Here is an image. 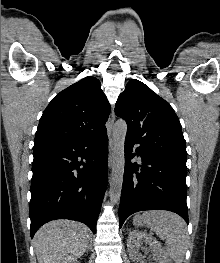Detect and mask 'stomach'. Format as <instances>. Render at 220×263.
I'll use <instances>...</instances> for the list:
<instances>
[{"mask_svg": "<svg viewBox=\"0 0 220 263\" xmlns=\"http://www.w3.org/2000/svg\"><path fill=\"white\" fill-rule=\"evenodd\" d=\"M134 225L136 226H143L145 222L143 221L141 216H135L133 220Z\"/></svg>", "mask_w": 220, "mask_h": 263, "instance_id": "0dacf381", "label": "stomach"}]
</instances>
